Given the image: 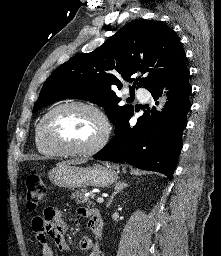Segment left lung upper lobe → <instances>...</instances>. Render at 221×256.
<instances>
[{"label":"left lung upper lobe","instance_id":"left-lung-upper-lobe-1","mask_svg":"<svg viewBox=\"0 0 221 256\" xmlns=\"http://www.w3.org/2000/svg\"><path fill=\"white\" fill-rule=\"evenodd\" d=\"M186 54L179 38L159 21L135 20L118 30L104 45L79 53L59 66L43 85L33 112L62 99L88 100L105 107L117 126L134 113L132 105L119 106L114 92L122 81L134 90L161 83L185 67Z\"/></svg>","mask_w":221,"mask_h":256}]
</instances>
